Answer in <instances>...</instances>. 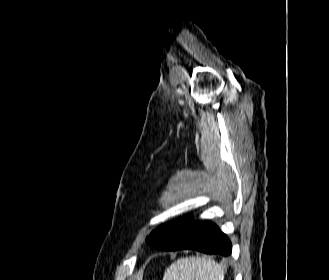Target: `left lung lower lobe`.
Segmentation results:
<instances>
[{
	"label": "left lung lower lobe",
	"instance_id": "0a47b994",
	"mask_svg": "<svg viewBox=\"0 0 329 280\" xmlns=\"http://www.w3.org/2000/svg\"><path fill=\"white\" fill-rule=\"evenodd\" d=\"M168 237V243L161 250L194 249L209 254H231V242L212 222L192 221L190 215L183 220L162 226L161 231Z\"/></svg>",
	"mask_w": 329,
	"mask_h": 280
}]
</instances>
